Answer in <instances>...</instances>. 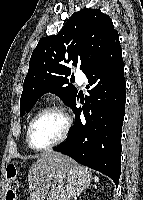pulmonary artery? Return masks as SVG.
Listing matches in <instances>:
<instances>
[{"mask_svg":"<svg viewBox=\"0 0 143 200\" xmlns=\"http://www.w3.org/2000/svg\"><path fill=\"white\" fill-rule=\"evenodd\" d=\"M75 77L79 85H82L86 80L85 74L82 71H77Z\"/></svg>","mask_w":143,"mask_h":200,"instance_id":"1","label":"pulmonary artery"}]
</instances>
